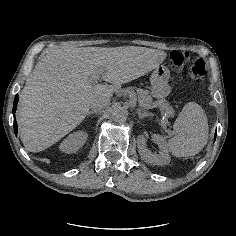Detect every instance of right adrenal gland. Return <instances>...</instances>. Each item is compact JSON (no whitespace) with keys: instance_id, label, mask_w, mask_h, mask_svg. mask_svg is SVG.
Returning a JSON list of instances; mask_svg holds the SVG:
<instances>
[{"instance_id":"1","label":"right adrenal gland","mask_w":236,"mask_h":236,"mask_svg":"<svg viewBox=\"0 0 236 236\" xmlns=\"http://www.w3.org/2000/svg\"><path fill=\"white\" fill-rule=\"evenodd\" d=\"M100 112V110L98 109V110H95V109H92L91 111H89L88 113H87V117H89V116H91V114H98Z\"/></svg>"}]
</instances>
